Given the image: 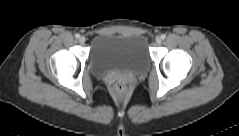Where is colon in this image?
<instances>
[{
	"label": "colon",
	"instance_id": "obj_1",
	"mask_svg": "<svg viewBox=\"0 0 239 136\" xmlns=\"http://www.w3.org/2000/svg\"><path fill=\"white\" fill-rule=\"evenodd\" d=\"M112 91L116 95H125L127 92V83L122 79H116L112 83Z\"/></svg>",
	"mask_w": 239,
	"mask_h": 136
}]
</instances>
